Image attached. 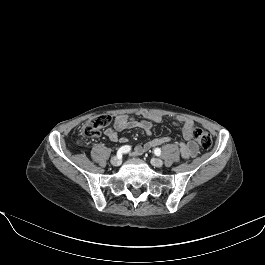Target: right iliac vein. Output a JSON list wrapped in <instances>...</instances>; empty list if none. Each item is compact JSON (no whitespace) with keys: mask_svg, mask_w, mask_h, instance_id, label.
Listing matches in <instances>:
<instances>
[{"mask_svg":"<svg viewBox=\"0 0 265 265\" xmlns=\"http://www.w3.org/2000/svg\"><path fill=\"white\" fill-rule=\"evenodd\" d=\"M111 163L112 165L114 166H119L121 163H122V159L118 156H114L112 159H111Z\"/></svg>","mask_w":265,"mask_h":265,"instance_id":"63e3f726","label":"right iliac vein"}]
</instances>
